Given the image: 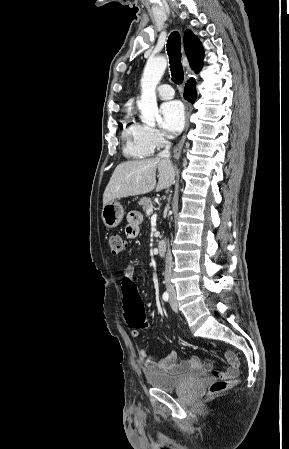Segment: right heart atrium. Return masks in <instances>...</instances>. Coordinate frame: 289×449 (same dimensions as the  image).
Masks as SVG:
<instances>
[{"mask_svg":"<svg viewBox=\"0 0 289 449\" xmlns=\"http://www.w3.org/2000/svg\"><path fill=\"white\" fill-rule=\"evenodd\" d=\"M143 138L151 150L157 149L165 143L163 134L156 128L143 126Z\"/></svg>","mask_w":289,"mask_h":449,"instance_id":"right-heart-atrium-1","label":"right heart atrium"}]
</instances>
